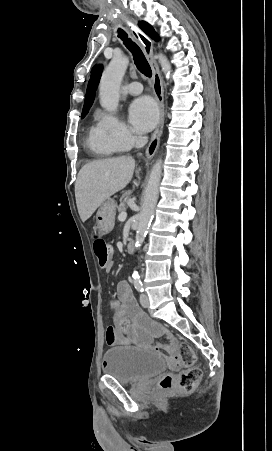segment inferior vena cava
I'll return each instance as SVG.
<instances>
[{
  "instance_id": "602c4592",
  "label": "inferior vena cava",
  "mask_w": 272,
  "mask_h": 451,
  "mask_svg": "<svg viewBox=\"0 0 272 451\" xmlns=\"http://www.w3.org/2000/svg\"><path fill=\"white\" fill-rule=\"evenodd\" d=\"M147 138H135V148H142L145 146Z\"/></svg>"
}]
</instances>
